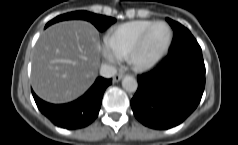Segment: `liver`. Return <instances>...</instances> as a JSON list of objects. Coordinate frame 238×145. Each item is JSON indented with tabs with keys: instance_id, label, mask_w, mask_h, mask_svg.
<instances>
[{
	"instance_id": "liver-1",
	"label": "liver",
	"mask_w": 238,
	"mask_h": 145,
	"mask_svg": "<svg viewBox=\"0 0 238 145\" xmlns=\"http://www.w3.org/2000/svg\"><path fill=\"white\" fill-rule=\"evenodd\" d=\"M99 32L86 21L54 24L40 36L33 54L31 82L43 100L66 103L81 96L100 67Z\"/></svg>"
}]
</instances>
